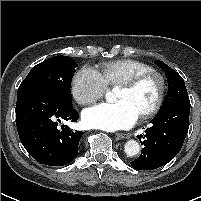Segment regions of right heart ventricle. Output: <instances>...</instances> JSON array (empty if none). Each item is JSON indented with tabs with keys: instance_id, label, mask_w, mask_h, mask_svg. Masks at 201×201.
Instances as JSON below:
<instances>
[{
	"instance_id": "obj_1",
	"label": "right heart ventricle",
	"mask_w": 201,
	"mask_h": 201,
	"mask_svg": "<svg viewBox=\"0 0 201 201\" xmlns=\"http://www.w3.org/2000/svg\"><path fill=\"white\" fill-rule=\"evenodd\" d=\"M152 70L147 64L133 59H118L103 63L100 73L109 86H118L122 81L142 72Z\"/></svg>"
}]
</instances>
